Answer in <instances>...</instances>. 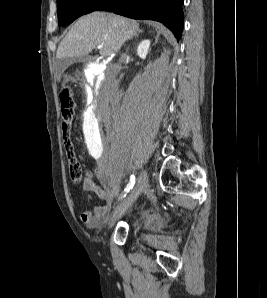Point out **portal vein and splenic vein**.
I'll return each instance as SVG.
<instances>
[{"mask_svg": "<svg viewBox=\"0 0 267 298\" xmlns=\"http://www.w3.org/2000/svg\"><path fill=\"white\" fill-rule=\"evenodd\" d=\"M97 48L100 50L103 48V45H97Z\"/></svg>", "mask_w": 267, "mask_h": 298, "instance_id": "1", "label": "portal vein and splenic vein"}]
</instances>
